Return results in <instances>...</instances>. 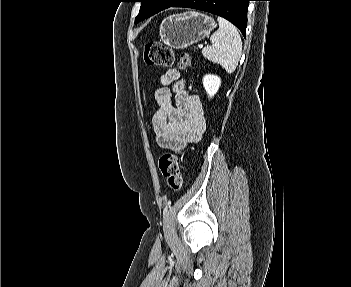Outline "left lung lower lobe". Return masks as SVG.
Wrapping results in <instances>:
<instances>
[{"mask_svg": "<svg viewBox=\"0 0 351 287\" xmlns=\"http://www.w3.org/2000/svg\"><path fill=\"white\" fill-rule=\"evenodd\" d=\"M252 0H178L171 7H184L221 16L240 29L245 36L247 9Z\"/></svg>", "mask_w": 351, "mask_h": 287, "instance_id": "0a47b994", "label": "left lung lower lobe"}]
</instances>
